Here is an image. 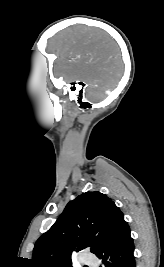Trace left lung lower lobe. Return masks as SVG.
<instances>
[{"mask_svg":"<svg viewBox=\"0 0 164 267\" xmlns=\"http://www.w3.org/2000/svg\"><path fill=\"white\" fill-rule=\"evenodd\" d=\"M134 243L124 223L96 255L104 267H135Z\"/></svg>","mask_w":164,"mask_h":267,"instance_id":"0a47b994","label":"left lung lower lobe"}]
</instances>
